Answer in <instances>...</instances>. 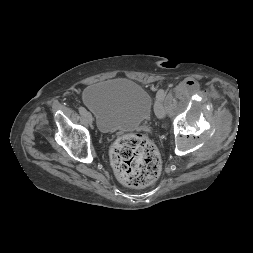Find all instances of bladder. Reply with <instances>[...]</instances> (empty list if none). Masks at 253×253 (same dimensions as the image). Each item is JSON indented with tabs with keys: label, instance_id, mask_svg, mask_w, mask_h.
I'll list each match as a JSON object with an SVG mask.
<instances>
[{
	"label": "bladder",
	"instance_id": "bladder-1",
	"mask_svg": "<svg viewBox=\"0 0 253 253\" xmlns=\"http://www.w3.org/2000/svg\"><path fill=\"white\" fill-rule=\"evenodd\" d=\"M84 103L94 112L102 132L132 130L152 110V97L139 83L128 79L99 82L87 88Z\"/></svg>",
	"mask_w": 253,
	"mask_h": 253
}]
</instances>
